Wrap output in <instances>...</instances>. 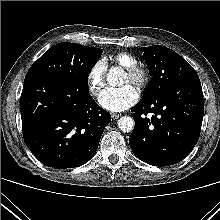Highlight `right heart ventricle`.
<instances>
[{
    "label": "right heart ventricle",
    "mask_w": 220,
    "mask_h": 220,
    "mask_svg": "<svg viewBox=\"0 0 220 220\" xmlns=\"http://www.w3.org/2000/svg\"><path fill=\"white\" fill-rule=\"evenodd\" d=\"M111 59L113 62L119 66H122L123 68H129L137 64L136 57L126 52L116 53L111 57Z\"/></svg>",
    "instance_id": "1"
}]
</instances>
